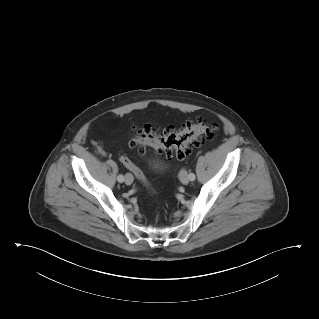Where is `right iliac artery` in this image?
I'll use <instances>...</instances> for the list:
<instances>
[{
    "mask_svg": "<svg viewBox=\"0 0 319 319\" xmlns=\"http://www.w3.org/2000/svg\"><path fill=\"white\" fill-rule=\"evenodd\" d=\"M117 180L122 183L124 182V176L123 175H118Z\"/></svg>",
    "mask_w": 319,
    "mask_h": 319,
    "instance_id": "right-iliac-artery-1",
    "label": "right iliac artery"
}]
</instances>
